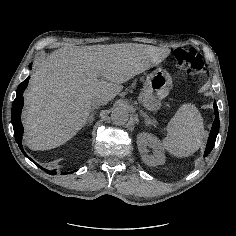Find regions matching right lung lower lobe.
I'll list each match as a JSON object with an SVG mask.
<instances>
[{
	"label": "right lung lower lobe",
	"mask_w": 236,
	"mask_h": 236,
	"mask_svg": "<svg viewBox=\"0 0 236 236\" xmlns=\"http://www.w3.org/2000/svg\"><path fill=\"white\" fill-rule=\"evenodd\" d=\"M32 64H30V68H31ZM29 78H26L22 83L19 84L17 91H16V98L13 102L12 105V115H11V122L13 125V129H14V136L16 139V142L18 143L19 148L21 149L22 153L28 158L30 159L34 164H36L38 167H40L41 169L45 170L48 174L51 175H55L56 171H48L46 169H44L43 167H41L40 165H38L36 162H34L24 151V148L22 146V135H23V126L21 123V111H22V107H23V92L27 87ZM65 174V173H64Z\"/></svg>",
	"instance_id": "obj_1"
}]
</instances>
